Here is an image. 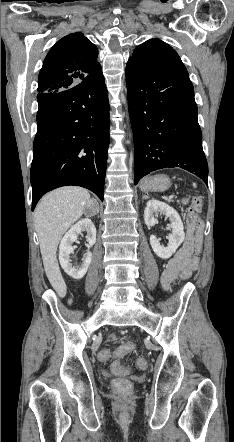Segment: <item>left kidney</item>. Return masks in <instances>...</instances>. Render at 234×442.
<instances>
[{
	"instance_id": "5707ae66",
	"label": "left kidney",
	"mask_w": 234,
	"mask_h": 442,
	"mask_svg": "<svg viewBox=\"0 0 234 442\" xmlns=\"http://www.w3.org/2000/svg\"><path fill=\"white\" fill-rule=\"evenodd\" d=\"M159 212L169 218L172 233L169 235V242L166 247L162 246L159 239L154 235L150 236V244L158 257L168 259L184 241L185 233L183 223L177 211L168 204L155 199L149 200L146 204L144 210L145 224L149 227L154 226L157 223L156 216Z\"/></svg>"
}]
</instances>
